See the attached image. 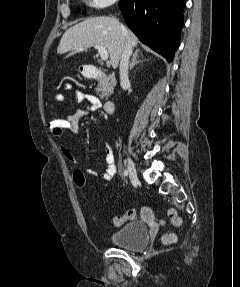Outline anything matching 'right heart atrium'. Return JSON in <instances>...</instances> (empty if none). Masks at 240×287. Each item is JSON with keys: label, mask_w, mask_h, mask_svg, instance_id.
Instances as JSON below:
<instances>
[{"label": "right heart atrium", "mask_w": 240, "mask_h": 287, "mask_svg": "<svg viewBox=\"0 0 240 287\" xmlns=\"http://www.w3.org/2000/svg\"><path fill=\"white\" fill-rule=\"evenodd\" d=\"M87 5L95 9H103L112 4L117 0H85Z\"/></svg>", "instance_id": "obj_1"}]
</instances>
